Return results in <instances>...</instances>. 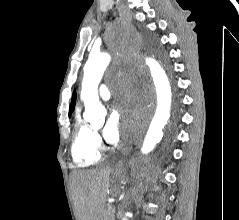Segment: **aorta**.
<instances>
[{
  "label": "aorta",
  "mask_w": 239,
  "mask_h": 220,
  "mask_svg": "<svg viewBox=\"0 0 239 220\" xmlns=\"http://www.w3.org/2000/svg\"><path fill=\"white\" fill-rule=\"evenodd\" d=\"M115 40H132V34L115 33ZM118 46L134 45H112V48H118ZM110 58L108 52L91 55L84 67L81 99L85 106V119L92 125L99 124L106 116V109L99 100L98 85L110 63ZM143 60H146L148 65L146 72L150 75L157 96L156 111L141 147V153L146 155L160 142L170 117L172 96L170 82L161 62L150 56H143ZM128 216L129 214L126 213L122 220H128Z\"/></svg>",
  "instance_id": "aorta-1"
}]
</instances>
